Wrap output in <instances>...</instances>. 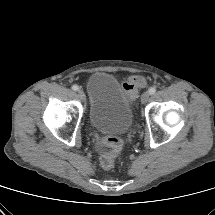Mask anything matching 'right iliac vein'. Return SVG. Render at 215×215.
Wrapping results in <instances>:
<instances>
[{
	"mask_svg": "<svg viewBox=\"0 0 215 215\" xmlns=\"http://www.w3.org/2000/svg\"><path fill=\"white\" fill-rule=\"evenodd\" d=\"M78 96L82 101H85V94L82 90H78Z\"/></svg>",
	"mask_w": 215,
	"mask_h": 215,
	"instance_id": "1",
	"label": "right iliac vein"
}]
</instances>
